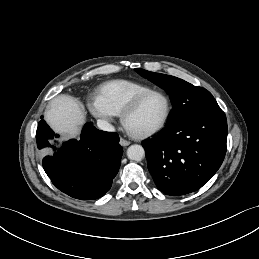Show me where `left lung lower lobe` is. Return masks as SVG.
Here are the masks:
<instances>
[{"label": "left lung lower lobe", "mask_w": 259, "mask_h": 259, "mask_svg": "<svg viewBox=\"0 0 259 259\" xmlns=\"http://www.w3.org/2000/svg\"><path fill=\"white\" fill-rule=\"evenodd\" d=\"M226 141L227 120L221 109L166 126L143 143L158 189L172 196L200 189L221 166Z\"/></svg>", "instance_id": "1"}]
</instances>
